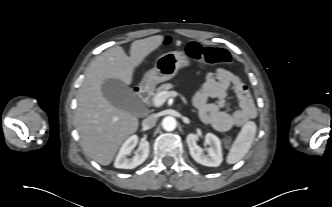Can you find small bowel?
Here are the masks:
<instances>
[{
	"label": "small bowel",
	"instance_id": "small-bowel-1",
	"mask_svg": "<svg viewBox=\"0 0 332 207\" xmlns=\"http://www.w3.org/2000/svg\"><path fill=\"white\" fill-rule=\"evenodd\" d=\"M232 91L239 100V109L224 111L226 95ZM214 100L210 102V100ZM201 120L212 125L219 132H226L253 119L256 114L254 102L246 84L233 73L217 69L205 76L202 89L193 98Z\"/></svg>",
	"mask_w": 332,
	"mask_h": 207
}]
</instances>
